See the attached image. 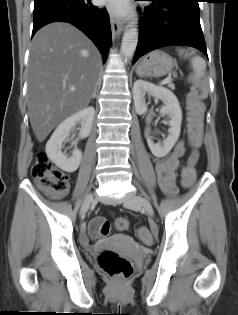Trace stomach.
Listing matches in <instances>:
<instances>
[{"label":"stomach","mask_w":238,"mask_h":315,"mask_svg":"<svg viewBox=\"0 0 238 315\" xmlns=\"http://www.w3.org/2000/svg\"><path fill=\"white\" fill-rule=\"evenodd\" d=\"M174 60L164 51L155 50L146 55L137 65V75L161 77L172 72Z\"/></svg>","instance_id":"obj_1"}]
</instances>
